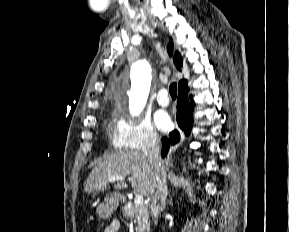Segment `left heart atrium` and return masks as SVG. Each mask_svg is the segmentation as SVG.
<instances>
[{"mask_svg": "<svg viewBox=\"0 0 289 232\" xmlns=\"http://www.w3.org/2000/svg\"><path fill=\"white\" fill-rule=\"evenodd\" d=\"M155 124L161 130H167L171 125L169 115L164 111H159L155 114Z\"/></svg>", "mask_w": 289, "mask_h": 232, "instance_id": "1", "label": "left heart atrium"}]
</instances>
